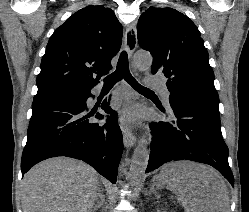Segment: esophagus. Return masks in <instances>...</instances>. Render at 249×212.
Masks as SVG:
<instances>
[{"instance_id": "obj_1", "label": "esophagus", "mask_w": 249, "mask_h": 212, "mask_svg": "<svg viewBox=\"0 0 249 212\" xmlns=\"http://www.w3.org/2000/svg\"><path fill=\"white\" fill-rule=\"evenodd\" d=\"M138 39H137V29L136 24L132 23L127 27L124 35V50L127 52L129 57H132L134 51L137 48ZM123 89V104L125 107L132 103L133 92L131 88L125 83L122 82ZM121 131L123 134L124 144L127 148L134 147L136 144V135L134 132L124 123H121Z\"/></svg>"}]
</instances>
